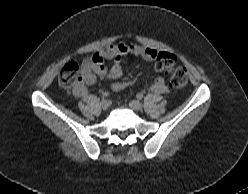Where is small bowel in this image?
<instances>
[{
	"mask_svg": "<svg viewBox=\"0 0 248 194\" xmlns=\"http://www.w3.org/2000/svg\"><path fill=\"white\" fill-rule=\"evenodd\" d=\"M126 55H138L152 60L155 56V51L138 45L124 43L103 48L83 61L82 77L73 88L74 95L77 97L85 96L88 92L87 85H93L98 79L115 80L120 78L122 75V59ZM107 60L113 62L111 66L106 64ZM150 88L158 94H165L169 91L162 77H157L152 82Z\"/></svg>",
	"mask_w": 248,
	"mask_h": 194,
	"instance_id": "c3829d8e",
	"label": "small bowel"
}]
</instances>
